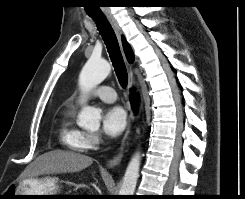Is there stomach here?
<instances>
[{"mask_svg":"<svg viewBox=\"0 0 245 199\" xmlns=\"http://www.w3.org/2000/svg\"><path fill=\"white\" fill-rule=\"evenodd\" d=\"M57 178L45 177L42 179H25L18 184H13L9 191L14 199H41L43 196H14V195H57Z\"/></svg>","mask_w":245,"mask_h":199,"instance_id":"1","label":"stomach"}]
</instances>
